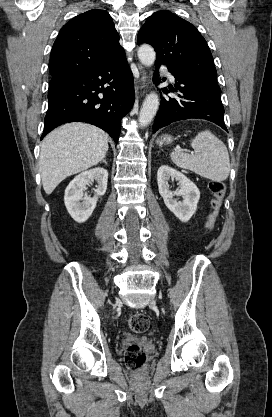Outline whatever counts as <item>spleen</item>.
<instances>
[{"label":"spleen","instance_id":"obj_1","mask_svg":"<svg viewBox=\"0 0 272 417\" xmlns=\"http://www.w3.org/2000/svg\"><path fill=\"white\" fill-rule=\"evenodd\" d=\"M194 154L175 150L170 156L178 167L188 169L215 182L228 178L230 159L225 144L209 130L202 131L191 141Z\"/></svg>","mask_w":272,"mask_h":417}]
</instances>
